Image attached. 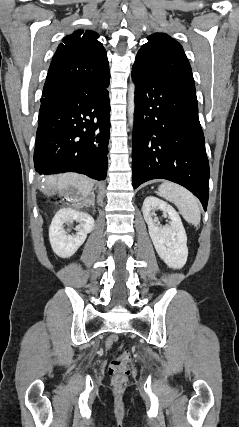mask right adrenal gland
<instances>
[{"instance_id":"2a0ac1e0","label":"right adrenal gland","mask_w":239,"mask_h":427,"mask_svg":"<svg viewBox=\"0 0 239 427\" xmlns=\"http://www.w3.org/2000/svg\"><path fill=\"white\" fill-rule=\"evenodd\" d=\"M92 198H93V199L95 198V195H94V193H92Z\"/></svg>"}]
</instances>
